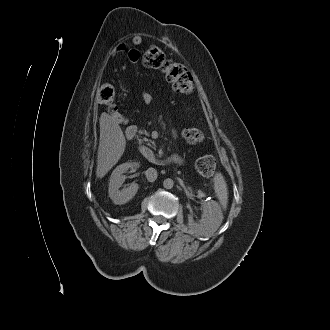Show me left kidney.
<instances>
[{"label": "left kidney", "mask_w": 330, "mask_h": 330, "mask_svg": "<svg viewBox=\"0 0 330 330\" xmlns=\"http://www.w3.org/2000/svg\"><path fill=\"white\" fill-rule=\"evenodd\" d=\"M202 210L203 215L200 223H196L191 214L188 215V226L193 234L208 237L221 225L223 213L221 207L215 201L203 202Z\"/></svg>", "instance_id": "1"}]
</instances>
